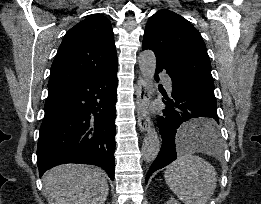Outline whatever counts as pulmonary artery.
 I'll use <instances>...</instances> for the list:
<instances>
[{
	"instance_id": "1",
	"label": "pulmonary artery",
	"mask_w": 261,
	"mask_h": 204,
	"mask_svg": "<svg viewBox=\"0 0 261 204\" xmlns=\"http://www.w3.org/2000/svg\"><path fill=\"white\" fill-rule=\"evenodd\" d=\"M161 78H162L165 86L167 87V89L171 90L172 89V82H171L170 77L166 74H161Z\"/></svg>"
}]
</instances>
